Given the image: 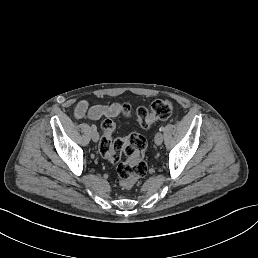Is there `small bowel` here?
Segmentation results:
<instances>
[{
  "instance_id": "c3829d8e",
  "label": "small bowel",
  "mask_w": 258,
  "mask_h": 258,
  "mask_svg": "<svg viewBox=\"0 0 258 258\" xmlns=\"http://www.w3.org/2000/svg\"><path fill=\"white\" fill-rule=\"evenodd\" d=\"M122 105L119 103H112L106 105L90 106L87 101H81L75 110V117L80 119L88 117L91 120H98L105 117H117L121 113Z\"/></svg>"
}]
</instances>
